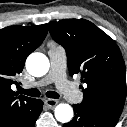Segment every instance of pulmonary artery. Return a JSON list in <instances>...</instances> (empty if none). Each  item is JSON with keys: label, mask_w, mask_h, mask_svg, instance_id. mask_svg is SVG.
<instances>
[{"label": "pulmonary artery", "mask_w": 127, "mask_h": 127, "mask_svg": "<svg viewBox=\"0 0 127 127\" xmlns=\"http://www.w3.org/2000/svg\"><path fill=\"white\" fill-rule=\"evenodd\" d=\"M50 69L49 73L43 79L36 81L27 86H46L54 82L62 95L68 100H78L79 91L74 85L67 81L65 76L66 54L60 47L50 46L48 51Z\"/></svg>", "instance_id": "e3ab8cb5"}]
</instances>
